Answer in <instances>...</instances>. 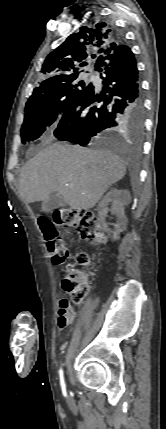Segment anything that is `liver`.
<instances>
[{
  "instance_id": "liver-1",
  "label": "liver",
  "mask_w": 166,
  "mask_h": 429,
  "mask_svg": "<svg viewBox=\"0 0 166 429\" xmlns=\"http://www.w3.org/2000/svg\"><path fill=\"white\" fill-rule=\"evenodd\" d=\"M125 173L123 160L110 151L52 144L22 168L19 193L34 203L57 192L71 208L88 210Z\"/></svg>"
}]
</instances>
